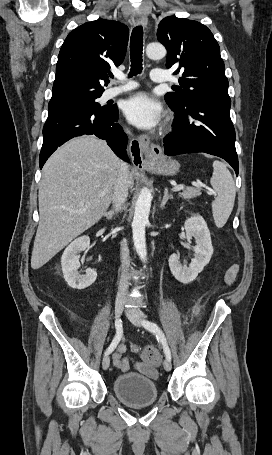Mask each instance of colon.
Instances as JSON below:
<instances>
[{
	"mask_svg": "<svg viewBox=\"0 0 272 455\" xmlns=\"http://www.w3.org/2000/svg\"><path fill=\"white\" fill-rule=\"evenodd\" d=\"M143 358L154 365H157L161 362V354L157 349L152 346H147L143 350Z\"/></svg>",
	"mask_w": 272,
	"mask_h": 455,
	"instance_id": "obj_1",
	"label": "colon"
}]
</instances>
